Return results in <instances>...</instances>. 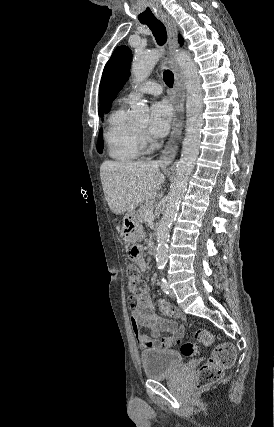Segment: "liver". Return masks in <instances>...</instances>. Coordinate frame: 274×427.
Returning <instances> with one entry per match:
<instances>
[{
    "mask_svg": "<svg viewBox=\"0 0 274 427\" xmlns=\"http://www.w3.org/2000/svg\"><path fill=\"white\" fill-rule=\"evenodd\" d=\"M100 178L113 214H134L137 206L156 196L165 182L159 162H103Z\"/></svg>",
    "mask_w": 274,
    "mask_h": 427,
    "instance_id": "liver-1",
    "label": "liver"
}]
</instances>
